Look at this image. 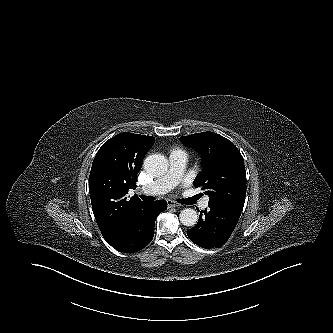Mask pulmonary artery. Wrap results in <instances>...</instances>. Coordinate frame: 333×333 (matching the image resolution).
I'll return each instance as SVG.
<instances>
[{
	"label": "pulmonary artery",
	"mask_w": 333,
	"mask_h": 333,
	"mask_svg": "<svg viewBox=\"0 0 333 333\" xmlns=\"http://www.w3.org/2000/svg\"><path fill=\"white\" fill-rule=\"evenodd\" d=\"M170 169L161 178L153 181L142 189L143 193L150 195L165 194L170 191L182 178L187 162V156L182 151H174L169 157ZM209 198L205 197L201 202L203 209L208 207Z\"/></svg>",
	"instance_id": "1"
}]
</instances>
